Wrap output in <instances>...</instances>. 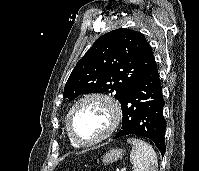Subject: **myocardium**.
<instances>
[{
	"instance_id": "obj_1",
	"label": "myocardium",
	"mask_w": 199,
	"mask_h": 171,
	"mask_svg": "<svg viewBox=\"0 0 199 171\" xmlns=\"http://www.w3.org/2000/svg\"><path fill=\"white\" fill-rule=\"evenodd\" d=\"M88 101L100 102L108 109L110 114V126L105 131V133L99 136L98 138L89 141H83L80 140L75 135L71 124V118L77 107ZM121 119H122V110L119 102L114 97L105 93L91 92L81 96L72 104L66 115V128L68 135L73 142H75L78 146L87 147L98 144L107 139L108 137H110L118 128Z\"/></svg>"
}]
</instances>
